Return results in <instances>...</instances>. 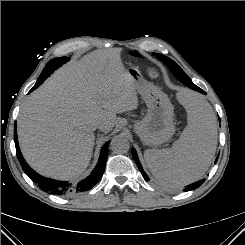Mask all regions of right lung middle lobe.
<instances>
[{
    "label": "right lung middle lobe",
    "instance_id": "1",
    "mask_svg": "<svg viewBox=\"0 0 245 245\" xmlns=\"http://www.w3.org/2000/svg\"><path fill=\"white\" fill-rule=\"evenodd\" d=\"M67 61H69L68 57L52 59L46 64V68L52 67L54 70H56L58 67H60L63 63H66Z\"/></svg>",
    "mask_w": 245,
    "mask_h": 245
}]
</instances>
